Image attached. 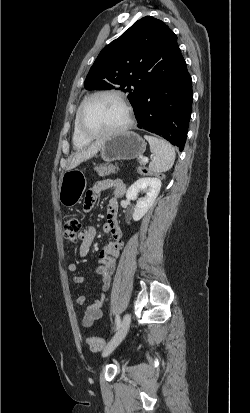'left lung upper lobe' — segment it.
I'll list each match as a JSON object with an SVG mask.
<instances>
[{
	"label": "left lung upper lobe",
	"instance_id": "1",
	"mask_svg": "<svg viewBox=\"0 0 250 413\" xmlns=\"http://www.w3.org/2000/svg\"><path fill=\"white\" fill-rule=\"evenodd\" d=\"M177 36L151 16L136 21L118 39L102 49L86 80L85 88L120 89L133 106L141 87L164 67L170 43Z\"/></svg>",
	"mask_w": 250,
	"mask_h": 413
}]
</instances>
